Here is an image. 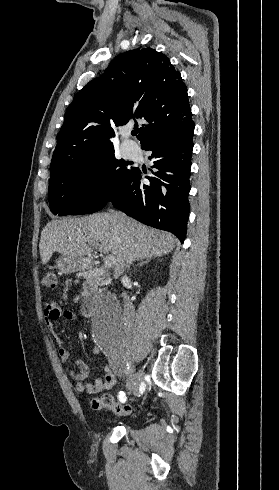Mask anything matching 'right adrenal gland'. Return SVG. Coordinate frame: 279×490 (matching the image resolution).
<instances>
[{
  "mask_svg": "<svg viewBox=\"0 0 279 490\" xmlns=\"http://www.w3.org/2000/svg\"><path fill=\"white\" fill-rule=\"evenodd\" d=\"M150 260H152V258H147V260H141L140 264H137V268L138 266H143V264H148ZM137 268H134V270H137Z\"/></svg>",
  "mask_w": 279,
  "mask_h": 490,
  "instance_id": "1",
  "label": "right adrenal gland"
}]
</instances>
